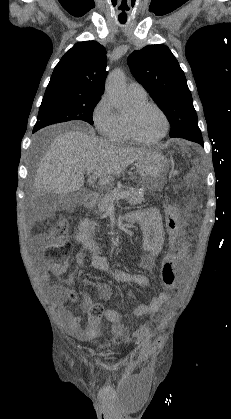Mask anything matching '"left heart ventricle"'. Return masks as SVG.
Instances as JSON below:
<instances>
[{
  "label": "left heart ventricle",
  "instance_id": "left-heart-ventricle-1",
  "mask_svg": "<svg viewBox=\"0 0 231 419\" xmlns=\"http://www.w3.org/2000/svg\"><path fill=\"white\" fill-rule=\"evenodd\" d=\"M133 123L138 136L147 140L156 138L164 129L163 118L154 109H147L134 115Z\"/></svg>",
  "mask_w": 231,
  "mask_h": 419
}]
</instances>
